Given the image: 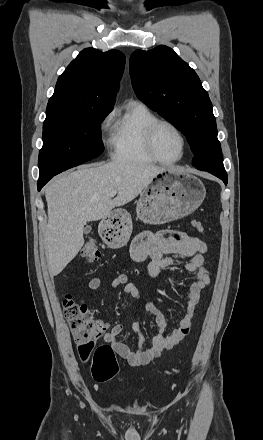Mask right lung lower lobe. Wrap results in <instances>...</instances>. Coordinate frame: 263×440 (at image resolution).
Here are the masks:
<instances>
[{"label":"right lung lower lobe","instance_id":"98d812e1","mask_svg":"<svg viewBox=\"0 0 263 440\" xmlns=\"http://www.w3.org/2000/svg\"><path fill=\"white\" fill-rule=\"evenodd\" d=\"M52 177L39 178L37 186L38 191L51 179Z\"/></svg>","mask_w":263,"mask_h":440}]
</instances>
